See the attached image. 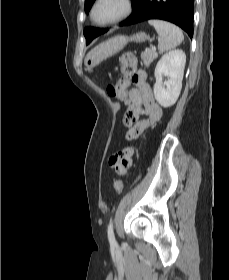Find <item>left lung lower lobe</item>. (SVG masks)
I'll list each match as a JSON object with an SVG mask.
<instances>
[{
    "mask_svg": "<svg viewBox=\"0 0 229 280\" xmlns=\"http://www.w3.org/2000/svg\"><path fill=\"white\" fill-rule=\"evenodd\" d=\"M193 2L194 0H137L133 14L121 26L161 19L178 25L192 38Z\"/></svg>",
    "mask_w": 229,
    "mask_h": 280,
    "instance_id": "left-lung-lower-lobe-1",
    "label": "left lung lower lobe"
}]
</instances>
